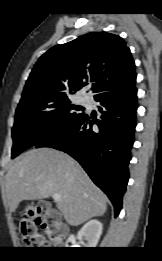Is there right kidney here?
<instances>
[{"label": "right kidney", "mask_w": 162, "mask_h": 261, "mask_svg": "<svg viewBox=\"0 0 162 261\" xmlns=\"http://www.w3.org/2000/svg\"><path fill=\"white\" fill-rule=\"evenodd\" d=\"M103 226L98 220H90L78 232L77 238L81 243H85V247L94 248L98 244L102 234Z\"/></svg>", "instance_id": "right-kidney-1"}]
</instances>
